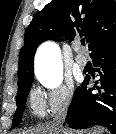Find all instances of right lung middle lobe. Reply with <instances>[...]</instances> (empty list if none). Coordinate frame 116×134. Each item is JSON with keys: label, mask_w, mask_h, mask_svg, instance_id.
<instances>
[{"label": "right lung middle lobe", "mask_w": 116, "mask_h": 134, "mask_svg": "<svg viewBox=\"0 0 116 134\" xmlns=\"http://www.w3.org/2000/svg\"><path fill=\"white\" fill-rule=\"evenodd\" d=\"M31 84H32V82L27 83L22 88V91L19 94H17V109H16V112L14 114L13 125H19L21 122L22 114H23V111L25 108L26 99H27V95L30 91Z\"/></svg>", "instance_id": "1"}]
</instances>
